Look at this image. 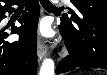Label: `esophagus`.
<instances>
[{"instance_id": "esophagus-1", "label": "esophagus", "mask_w": 107, "mask_h": 75, "mask_svg": "<svg viewBox=\"0 0 107 75\" xmlns=\"http://www.w3.org/2000/svg\"><path fill=\"white\" fill-rule=\"evenodd\" d=\"M37 54L39 60H42L47 54V46L41 37L37 41Z\"/></svg>"}]
</instances>
